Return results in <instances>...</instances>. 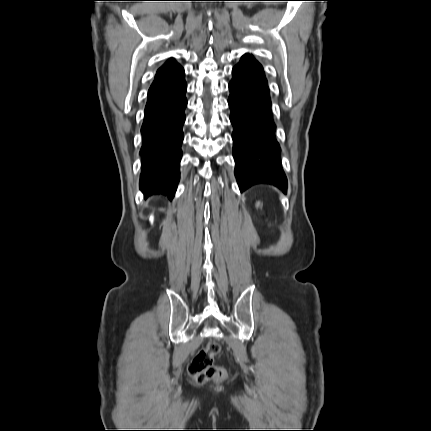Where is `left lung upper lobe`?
I'll return each mask as SVG.
<instances>
[{
    "label": "left lung upper lobe",
    "mask_w": 431,
    "mask_h": 431,
    "mask_svg": "<svg viewBox=\"0 0 431 431\" xmlns=\"http://www.w3.org/2000/svg\"><path fill=\"white\" fill-rule=\"evenodd\" d=\"M243 62H252V63H258V61H256L252 56H250L249 54H246L242 57L240 63ZM259 64V63H258Z\"/></svg>",
    "instance_id": "1"
}]
</instances>
